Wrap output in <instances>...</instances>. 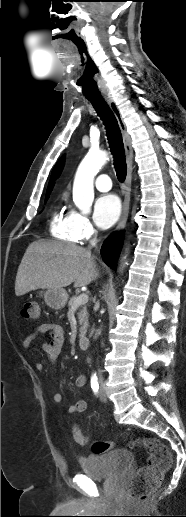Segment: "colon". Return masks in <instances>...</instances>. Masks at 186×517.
Returning <instances> with one entry per match:
<instances>
[{"mask_svg":"<svg viewBox=\"0 0 186 517\" xmlns=\"http://www.w3.org/2000/svg\"><path fill=\"white\" fill-rule=\"evenodd\" d=\"M21 315L27 320L39 319V303L36 301L25 303ZM73 436L77 443H83L86 440L78 428L74 429ZM112 445L108 441H95L92 444V452L94 454H102L108 451ZM129 445L132 448H143L149 456L147 465L136 472L128 487V496L131 500H144L150 492L159 486L164 473L171 467V454L168 448L156 438L142 437L131 441Z\"/></svg>","mask_w":186,"mask_h":517,"instance_id":"colon-1","label":"colon"}]
</instances>
